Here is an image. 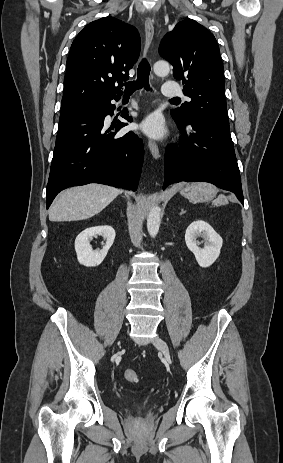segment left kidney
<instances>
[{"label":"left kidney","mask_w":283,"mask_h":463,"mask_svg":"<svg viewBox=\"0 0 283 463\" xmlns=\"http://www.w3.org/2000/svg\"><path fill=\"white\" fill-rule=\"evenodd\" d=\"M198 236L205 239L204 248L198 246L196 240ZM185 242L188 249L195 255L198 264L204 268L216 261L223 244L221 236L203 220H196L187 227Z\"/></svg>","instance_id":"left-kidney-1"}]
</instances>
